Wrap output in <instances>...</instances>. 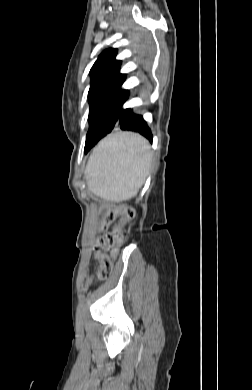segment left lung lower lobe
<instances>
[{
  "label": "left lung lower lobe",
  "instance_id": "obj_1",
  "mask_svg": "<svg viewBox=\"0 0 252 390\" xmlns=\"http://www.w3.org/2000/svg\"><path fill=\"white\" fill-rule=\"evenodd\" d=\"M113 129L139 132L152 142V133L142 115L135 114L132 109H123L116 116L105 114L89 123L84 151L87 153L102 137Z\"/></svg>",
  "mask_w": 252,
  "mask_h": 390
}]
</instances>
